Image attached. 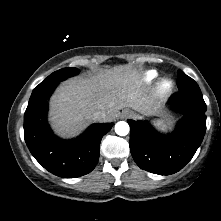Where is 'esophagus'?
Listing matches in <instances>:
<instances>
[{
	"label": "esophagus",
	"instance_id": "1",
	"mask_svg": "<svg viewBox=\"0 0 221 221\" xmlns=\"http://www.w3.org/2000/svg\"><path fill=\"white\" fill-rule=\"evenodd\" d=\"M132 116V113L129 110H124L121 114V118H129Z\"/></svg>",
	"mask_w": 221,
	"mask_h": 221
}]
</instances>
